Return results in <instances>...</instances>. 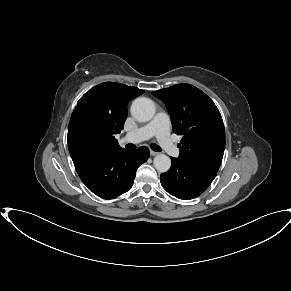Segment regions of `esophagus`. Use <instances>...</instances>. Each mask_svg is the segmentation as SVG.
Wrapping results in <instances>:
<instances>
[{
  "label": "esophagus",
  "mask_w": 291,
  "mask_h": 291,
  "mask_svg": "<svg viewBox=\"0 0 291 291\" xmlns=\"http://www.w3.org/2000/svg\"><path fill=\"white\" fill-rule=\"evenodd\" d=\"M150 154H151V156H156V155H158L159 153H158V152H155V151H152V150H150Z\"/></svg>",
  "instance_id": "1"
}]
</instances>
